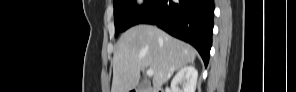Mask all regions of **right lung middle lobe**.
Listing matches in <instances>:
<instances>
[{"instance_id": "obj_1", "label": "right lung middle lobe", "mask_w": 296, "mask_h": 92, "mask_svg": "<svg viewBox=\"0 0 296 92\" xmlns=\"http://www.w3.org/2000/svg\"><path fill=\"white\" fill-rule=\"evenodd\" d=\"M159 0H145L137 6L135 0H113L115 36L138 24L158 4Z\"/></svg>"}]
</instances>
